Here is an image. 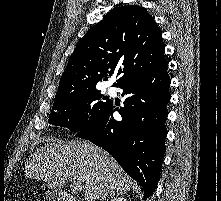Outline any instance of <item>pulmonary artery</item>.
<instances>
[{
  "instance_id": "obj_1",
  "label": "pulmonary artery",
  "mask_w": 221,
  "mask_h": 201,
  "mask_svg": "<svg viewBox=\"0 0 221 201\" xmlns=\"http://www.w3.org/2000/svg\"><path fill=\"white\" fill-rule=\"evenodd\" d=\"M113 90L111 88H109V92H112Z\"/></svg>"
}]
</instances>
